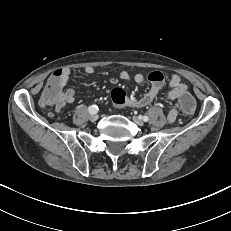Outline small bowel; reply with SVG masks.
Here are the masks:
<instances>
[{
    "label": "small bowel",
    "instance_id": "1",
    "mask_svg": "<svg viewBox=\"0 0 231 231\" xmlns=\"http://www.w3.org/2000/svg\"><path fill=\"white\" fill-rule=\"evenodd\" d=\"M61 70L64 75L58 83L60 88L57 92V99L54 103L57 112L61 111L66 104L73 103L75 101V91L71 88L64 90V87L70 77V69L62 68ZM83 72L87 75H92L94 73V68L86 66L83 68ZM120 78L124 81L134 80L137 84H143L146 80L150 83V89L142 96L137 98H127L126 105L132 107H145L151 104L164 85V77L160 72H152L146 77L141 73L132 76L129 72L122 71L120 73ZM167 87L168 89L165 93V99L169 105L167 120L168 122L173 123L176 121L178 113L181 110L179 108L178 90L183 88L187 90V93H189V91L187 85L181 81L177 74H171L168 77Z\"/></svg>",
    "mask_w": 231,
    "mask_h": 231
}]
</instances>
